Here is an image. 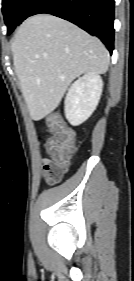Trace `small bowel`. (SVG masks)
Here are the masks:
<instances>
[{
	"label": "small bowel",
	"mask_w": 134,
	"mask_h": 281,
	"mask_svg": "<svg viewBox=\"0 0 134 281\" xmlns=\"http://www.w3.org/2000/svg\"><path fill=\"white\" fill-rule=\"evenodd\" d=\"M40 160L42 163L43 176L47 183H59L65 174V170L52 159L41 158Z\"/></svg>",
	"instance_id": "obj_1"
}]
</instances>
